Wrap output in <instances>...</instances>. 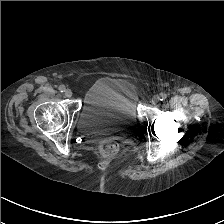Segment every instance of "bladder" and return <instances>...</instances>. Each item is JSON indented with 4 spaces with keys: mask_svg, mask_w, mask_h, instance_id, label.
Masks as SVG:
<instances>
[{
    "mask_svg": "<svg viewBox=\"0 0 224 224\" xmlns=\"http://www.w3.org/2000/svg\"><path fill=\"white\" fill-rule=\"evenodd\" d=\"M136 123L134 95L121 79L101 77L86 91L77 120L81 134L128 137Z\"/></svg>",
    "mask_w": 224,
    "mask_h": 224,
    "instance_id": "1",
    "label": "bladder"
}]
</instances>
